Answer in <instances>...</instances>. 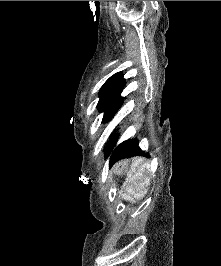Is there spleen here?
I'll return each mask as SVG.
<instances>
[{
	"label": "spleen",
	"instance_id": "obj_1",
	"mask_svg": "<svg viewBox=\"0 0 221 266\" xmlns=\"http://www.w3.org/2000/svg\"><path fill=\"white\" fill-rule=\"evenodd\" d=\"M152 178L151 164L143 163L142 158H136L133 160L131 169L128 172V183L126 191L134 199L139 200L145 197L147 193V187L150 185V179ZM130 196L128 200H133Z\"/></svg>",
	"mask_w": 221,
	"mask_h": 266
}]
</instances>
